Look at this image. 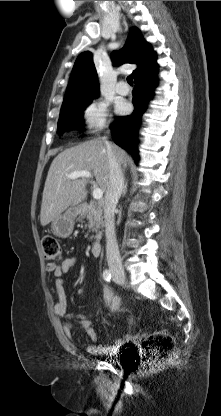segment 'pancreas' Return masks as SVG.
Masks as SVG:
<instances>
[{
    "mask_svg": "<svg viewBox=\"0 0 221 416\" xmlns=\"http://www.w3.org/2000/svg\"><path fill=\"white\" fill-rule=\"evenodd\" d=\"M78 213L80 215L79 220L86 218L88 220V225L85 226H88L89 230L96 233L95 238L100 239L101 231L99 230L104 225L101 205L96 202H90L81 207Z\"/></svg>",
    "mask_w": 221,
    "mask_h": 416,
    "instance_id": "cf45deb5",
    "label": "pancreas"
}]
</instances>
